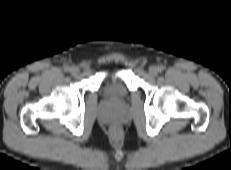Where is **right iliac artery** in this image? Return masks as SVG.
<instances>
[{"label": "right iliac artery", "instance_id": "1", "mask_svg": "<svg viewBox=\"0 0 231 170\" xmlns=\"http://www.w3.org/2000/svg\"><path fill=\"white\" fill-rule=\"evenodd\" d=\"M64 71H66V72L70 71V67L69 66H64Z\"/></svg>", "mask_w": 231, "mask_h": 170}]
</instances>
